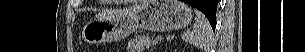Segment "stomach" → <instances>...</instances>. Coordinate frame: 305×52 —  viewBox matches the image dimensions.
Here are the masks:
<instances>
[{"mask_svg": "<svg viewBox=\"0 0 305 52\" xmlns=\"http://www.w3.org/2000/svg\"><path fill=\"white\" fill-rule=\"evenodd\" d=\"M192 21L190 7L179 0H149L139 9L120 17L87 23L82 39L88 45L121 40L138 29L172 31L187 27Z\"/></svg>", "mask_w": 305, "mask_h": 52, "instance_id": "1", "label": "stomach"}]
</instances>
